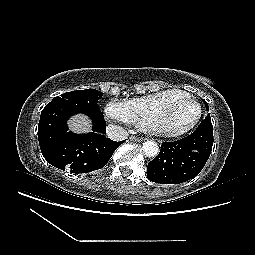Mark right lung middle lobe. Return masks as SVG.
Masks as SVG:
<instances>
[{
	"label": "right lung middle lobe",
	"instance_id": "obj_1",
	"mask_svg": "<svg viewBox=\"0 0 255 255\" xmlns=\"http://www.w3.org/2000/svg\"><path fill=\"white\" fill-rule=\"evenodd\" d=\"M103 93L95 89L66 92L48 103L41 112L38 138L41 149L51 146L57 136L67 128V119L76 113L89 116L92 121L103 118L98 100Z\"/></svg>",
	"mask_w": 255,
	"mask_h": 255
}]
</instances>
